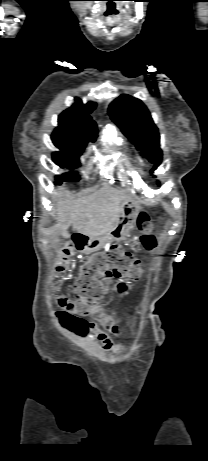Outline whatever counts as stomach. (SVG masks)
Segmentation results:
<instances>
[{"label":"stomach","mask_w":208,"mask_h":461,"mask_svg":"<svg viewBox=\"0 0 208 461\" xmlns=\"http://www.w3.org/2000/svg\"><path fill=\"white\" fill-rule=\"evenodd\" d=\"M138 214L139 209L132 202H124L119 219L113 228L102 236L89 238L84 247V252H95L109 243L124 240L128 236L130 229L135 225Z\"/></svg>","instance_id":"stomach-1"}]
</instances>
